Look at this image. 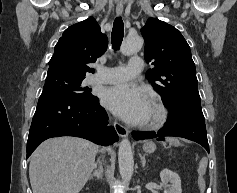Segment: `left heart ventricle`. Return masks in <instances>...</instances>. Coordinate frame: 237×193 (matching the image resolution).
<instances>
[{
    "mask_svg": "<svg viewBox=\"0 0 237 193\" xmlns=\"http://www.w3.org/2000/svg\"><path fill=\"white\" fill-rule=\"evenodd\" d=\"M155 116H156V109L153 106V104L151 102H149V104L145 110L142 122L150 121V120L154 119Z\"/></svg>",
    "mask_w": 237,
    "mask_h": 193,
    "instance_id": "1",
    "label": "left heart ventricle"
}]
</instances>
